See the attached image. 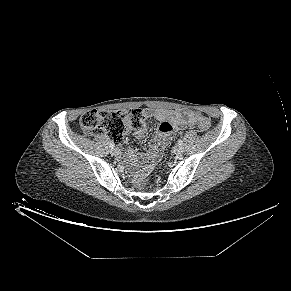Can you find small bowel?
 <instances>
[{"instance_id": "small-bowel-1", "label": "small bowel", "mask_w": 291, "mask_h": 291, "mask_svg": "<svg viewBox=\"0 0 291 291\" xmlns=\"http://www.w3.org/2000/svg\"><path fill=\"white\" fill-rule=\"evenodd\" d=\"M145 118L155 119L158 121L157 132L158 138H155L150 143V151L146 154L135 155L132 151L128 153L129 158H131L136 163H146L142 168L141 172L146 169H152L155 162L161 157L163 149L167 146L172 138V133L174 131L183 130L196 123V116L180 112L176 110H146L144 112ZM142 130L136 132L138 138L142 137Z\"/></svg>"}]
</instances>
